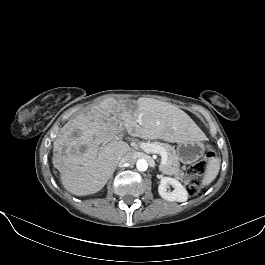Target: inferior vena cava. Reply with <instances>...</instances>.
Here are the masks:
<instances>
[{"instance_id":"obj_1","label":"inferior vena cava","mask_w":265,"mask_h":265,"mask_svg":"<svg viewBox=\"0 0 265 265\" xmlns=\"http://www.w3.org/2000/svg\"><path fill=\"white\" fill-rule=\"evenodd\" d=\"M134 160V155L130 152L126 153L120 160L119 164L129 163Z\"/></svg>"}]
</instances>
